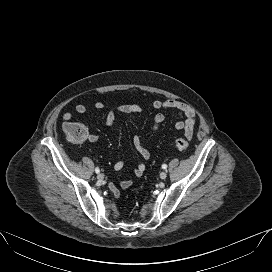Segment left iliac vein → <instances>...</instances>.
Segmentation results:
<instances>
[{"label":"left iliac vein","instance_id":"obj_1","mask_svg":"<svg viewBox=\"0 0 272 272\" xmlns=\"http://www.w3.org/2000/svg\"><path fill=\"white\" fill-rule=\"evenodd\" d=\"M167 177V173L165 171L160 173V178L165 179Z\"/></svg>","mask_w":272,"mask_h":272}]
</instances>
